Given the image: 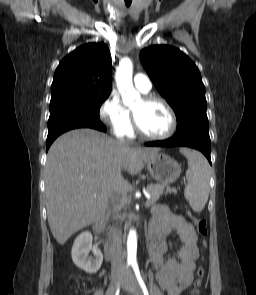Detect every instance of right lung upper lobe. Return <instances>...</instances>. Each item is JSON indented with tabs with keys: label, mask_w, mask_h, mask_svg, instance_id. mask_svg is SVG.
I'll return each instance as SVG.
<instances>
[{
	"label": "right lung upper lobe",
	"mask_w": 256,
	"mask_h": 295,
	"mask_svg": "<svg viewBox=\"0 0 256 295\" xmlns=\"http://www.w3.org/2000/svg\"><path fill=\"white\" fill-rule=\"evenodd\" d=\"M111 72V55L106 44L82 45L59 63L51 86V102L69 97L109 96Z\"/></svg>",
	"instance_id": "obj_1"
}]
</instances>
